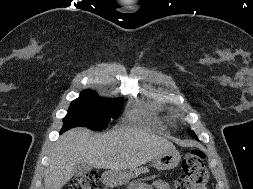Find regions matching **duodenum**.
<instances>
[{
	"instance_id": "duodenum-1",
	"label": "duodenum",
	"mask_w": 253,
	"mask_h": 189,
	"mask_svg": "<svg viewBox=\"0 0 253 189\" xmlns=\"http://www.w3.org/2000/svg\"><path fill=\"white\" fill-rule=\"evenodd\" d=\"M105 183L107 185H110L113 181H114V174L111 173V172H108L106 175H105Z\"/></svg>"
}]
</instances>
